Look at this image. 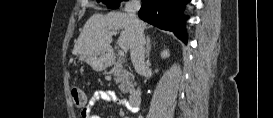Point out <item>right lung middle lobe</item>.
<instances>
[{
    "label": "right lung middle lobe",
    "instance_id": "dd1d6c3e",
    "mask_svg": "<svg viewBox=\"0 0 273 118\" xmlns=\"http://www.w3.org/2000/svg\"><path fill=\"white\" fill-rule=\"evenodd\" d=\"M100 1L106 4L109 9H117L121 3V0H97V2Z\"/></svg>",
    "mask_w": 273,
    "mask_h": 118
}]
</instances>
